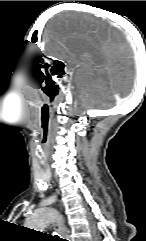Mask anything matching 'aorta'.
Masks as SVG:
<instances>
[{"label": "aorta", "instance_id": "762f6f07", "mask_svg": "<svg viewBox=\"0 0 146 241\" xmlns=\"http://www.w3.org/2000/svg\"><path fill=\"white\" fill-rule=\"evenodd\" d=\"M58 212L50 207L40 208L34 211L27 219L26 226L34 230H43L51 222L58 218Z\"/></svg>", "mask_w": 146, "mask_h": 241}]
</instances>
